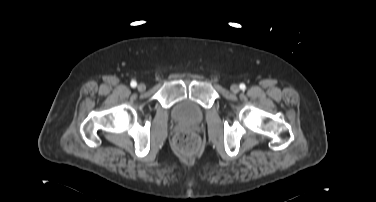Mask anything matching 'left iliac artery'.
Returning <instances> with one entry per match:
<instances>
[{
    "label": "left iliac artery",
    "instance_id": "left-iliac-artery-1",
    "mask_svg": "<svg viewBox=\"0 0 376 202\" xmlns=\"http://www.w3.org/2000/svg\"><path fill=\"white\" fill-rule=\"evenodd\" d=\"M240 89H241V90H245V89H246L245 84L241 83V84H240Z\"/></svg>",
    "mask_w": 376,
    "mask_h": 202
}]
</instances>
